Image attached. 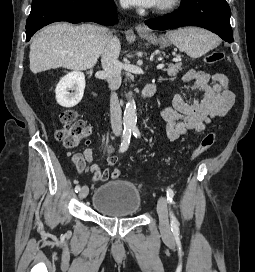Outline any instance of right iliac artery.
<instances>
[{
  "label": "right iliac artery",
  "mask_w": 255,
  "mask_h": 272,
  "mask_svg": "<svg viewBox=\"0 0 255 272\" xmlns=\"http://www.w3.org/2000/svg\"><path fill=\"white\" fill-rule=\"evenodd\" d=\"M130 138H131V129L126 128L123 131V140L120 145L119 152L123 153L128 149L129 143H130ZM80 191V186L76 185L75 187V192Z\"/></svg>",
  "instance_id": "right-iliac-artery-1"
}]
</instances>
